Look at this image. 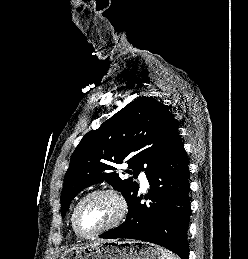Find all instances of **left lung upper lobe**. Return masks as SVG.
I'll list each match as a JSON object with an SVG mask.
<instances>
[{
  "instance_id": "5c2ea615",
  "label": "left lung upper lobe",
  "mask_w": 248,
  "mask_h": 259,
  "mask_svg": "<svg viewBox=\"0 0 248 259\" xmlns=\"http://www.w3.org/2000/svg\"><path fill=\"white\" fill-rule=\"evenodd\" d=\"M180 143L176 119L166 105L151 97L135 99L98 130L85 134L73 152L61 192L62 217L81 190L104 180L123 194L129 206L139 184L133 178L121 180L115 164L126 160L132 169L126 172L134 178L142 169L148 175Z\"/></svg>"
}]
</instances>
